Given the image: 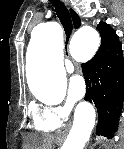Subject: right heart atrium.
Segmentation results:
<instances>
[{
    "label": "right heart atrium",
    "instance_id": "1",
    "mask_svg": "<svg viewBox=\"0 0 124 149\" xmlns=\"http://www.w3.org/2000/svg\"><path fill=\"white\" fill-rule=\"evenodd\" d=\"M70 106L56 105V106H32V118L35 127H46L52 130L61 126L65 118L70 113Z\"/></svg>",
    "mask_w": 124,
    "mask_h": 149
}]
</instances>
